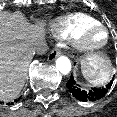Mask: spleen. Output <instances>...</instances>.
I'll return each instance as SVG.
<instances>
[{"label":"spleen","mask_w":117,"mask_h":117,"mask_svg":"<svg viewBox=\"0 0 117 117\" xmlns=\"http://www.w3.org/2000/svg\"><path fill=\"white\" fill-rule=\"evenodd\" d=\"M111 70L110 61L97 54H89L81 61V71L85 79L95 86L107 83L110 79Z\"/></svg>","instance_id":"obj_1"}]
</instances>
